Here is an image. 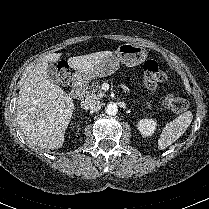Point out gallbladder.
I'll list each match as a JSON object with an SVG mask.
<instances>
[{
  "instance_id": "bac80fb5",
  "label": "gallbladder",
  "mask_w": 209,
  "mask_h": 209,
  "mask_svg": "<svg viewBox=\"0 0 209 209\" xmlns=\"http://www.w3.org/2000/svg\"><path fill=\"white\" fill-rule=\"evenodd\" d=\"M47 77L54 84H58L60 82L59 73L57 72L55 65L52 63L48 66Z\"/></svg>"
}]
</instances>
